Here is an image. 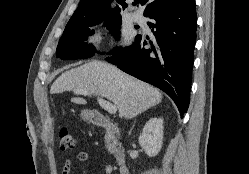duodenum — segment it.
Instances as JSON below:
<instances>
[{
    "mask_svg": "<svg viewBox=\"0 0 249 174\" xmlns=\"http://www.w3.org/2000/svg\"><path fill=\"white\" fill-rule=\"evenodd\" d=\"M91 122L98 127L104 128L108 132L109 143L113 148V154L117 161L118 174H130L125 151L120 142L121 130L119 126L99 112L92 113Z\"/></svg>",
    "mask_w": 249,
    "mask_h": 174,
    "instance_id": "1",
    "label": "duodenum"
}]
</instances>
